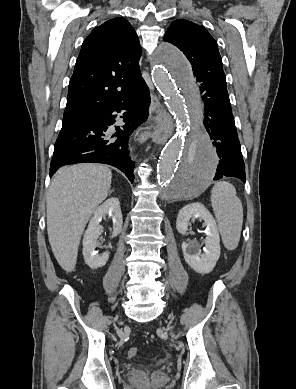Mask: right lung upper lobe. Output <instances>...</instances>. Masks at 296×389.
Masks as SVG:
<instances>
[{"instance_id": "1", "label": "right lung upper lobe", "mask_w": 296, "mask_h": 389, "mask_svg": "<svg viewBox=\"0 0 296 389\" xmlns=\"http://www.w3.org/2000/svg\"><path fill=\"white\" fill-rule=\"evenodd\" d=\"M142 49L124 18L93 29L84 40L69 82L63 120L83 119L120 102L141 74Z\"/></svg>"}]
</instances>
